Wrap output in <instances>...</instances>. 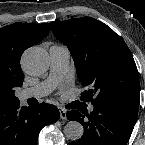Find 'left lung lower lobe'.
<instances>
[{
    "label": "left lung lower lobe",
    "mask_w": 145,
    "mask_h": 145,
    "mask_svg": "<svg viewBox=\"0 0 145 145\" xmlns=\"http://www.w3.org/2000/svg\"><path fill=\"white\" fill-rule=\"evenodd\" d=\"M94 109L72 110L69 120L84 126L83 136L70 145H126L133 131L139 101H109L93 104Z\"/></svg>",
    "instance_id": "obj_1"
}]
</instances>
